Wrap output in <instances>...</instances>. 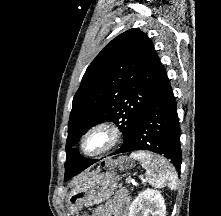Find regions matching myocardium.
<instances>
[{
    "label": "myocardium",
    "instance_id": "1",
    "mask_svg": "<svg viewBox=\"0 0 221 216\" xmlns=\"http://www.w3.org/2000/svg\"><path fill=\"white\" fill-rule=\"evenodd\" d=\"M102 137L101 146L94 151H87L86 144L94 136ZM122 139V130L113 122L103 121L91 126L82 136L80 141L81 152L88 157H97L114 149Z\"/></svg>",
    "mask_w": 221,
    "mask_h": 216
}]
</instances>
